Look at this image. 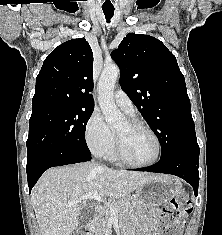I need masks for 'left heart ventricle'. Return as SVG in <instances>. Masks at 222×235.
Listing matches in <instances>:
<instances>
[{"instance_id": "left-heart-ventricle-1", "label": "left heart ventricle", "mask_w": 222, "mask_h": 235, "mask_svg": "<svg viewBox=\"0 0 222 235\" xmlns=\"http://www.w3.org/2000/svg\"><path fill=\"white\" fill-rule=\"evenodd\" d=\"M122 140L126 155L134 162L144 163L152 160L157 153L154 137L143 129H133L125 121L116 129Z\"/></svg>"}]
</instances>
